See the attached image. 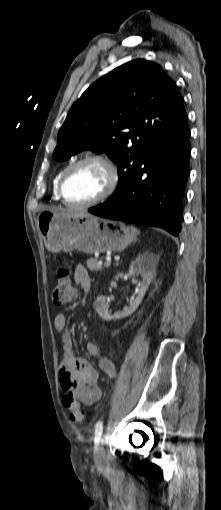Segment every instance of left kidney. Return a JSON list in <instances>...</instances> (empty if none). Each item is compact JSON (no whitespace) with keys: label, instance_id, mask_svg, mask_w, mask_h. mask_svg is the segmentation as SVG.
I'll list each match as a JSON object with an SVG mask.
<instances>
[{"label":"left kidney","instance_id":"1","mask_svg":"<svg viewBox=\"0 0 221 510\" xmlns=\"http://www.w3.org/2000/svg\"><path fill=\"white\" fill-rule=\"evenodd\" d=\"M158 264V257L150 252H144L139 255L130 265L129 273L133 276L140 274L142 281L138 284L140 289L138 296L130 302L128 307L115 315H110L108 311V301L104 296H99L93 303V307L103 320H117L125 318L136 311L151 283Z\"/></svg>","mask_w":221,"mask_h":510}]
</instances>
